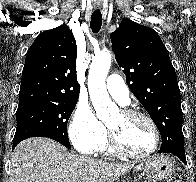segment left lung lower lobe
<instances>
[{
	"mask_svg": "<svg viewBox=\"0 0 196 182\" xmlns=\"http://www.w3.org/2000/svg\"><path fill=\"white\" fill-rule=\"evenodd\" d=\"M159 153H164V152H161L159 150ZM169 153H172L173 155H176L180 160H182V162L184 164H186V157H185V152L184 151H173V152H169Z\"/></svg>",
	"mask_w": 196,
	"mask_h": 182,
	"instance_id": "obj_1",
	"label": "left lung lower lobe"
}]
</instances>
